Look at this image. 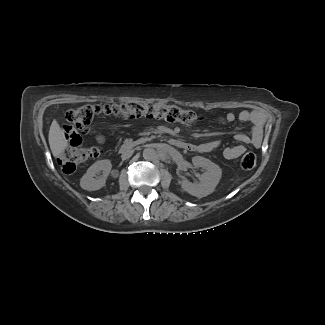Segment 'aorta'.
Listing matches in <instances>:
<instances>
[{
	"label": "aorta",
	"instance_id": "aorta-1",
	"mask_svg": "<svg viewBox=\"0 0 325 325\" xmlns=\"http://www.w3.org/2000/svg\"><path fill=\"white\" fill-rule=\"evenodd\" d=\"M157 157V152L153 148H145L143 150V158L148 161H152L156 159Z\"/></svg>",
	"mask_w": 325,
	"mask_h": 325
}]
</instances>
